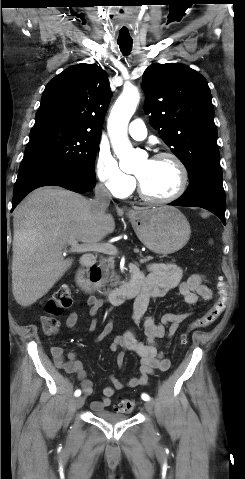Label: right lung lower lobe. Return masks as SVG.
<instances>
[{
	"mask_svg": "<svg viewBox=\"0 0 245 479\" xmlns=\"http://www.w3.org/2000/svg\"><path fill=\"white\" fill-rule=\"evenodd\" d=\"M95 184V177L60 166H38L24 170L19 172L14 186L12 211L31 191L42 186L55 185L84 193Z\"/></svg>",
	"mask_w": 245,
	"mask_h": 479,
	"instance_id": "98d812e1",
	"label": "right lung lower lobe"
}]
</instances>
